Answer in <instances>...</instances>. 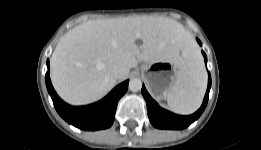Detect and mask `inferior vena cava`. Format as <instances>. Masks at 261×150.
Returning a JSON list of instances; mask_svg holds the SVG:
<instances>
[{
  "mask_svg": "<svg viewBox=\"0 0 261 150\" xmlns=\"http://www.w3.org/2000/svg\"><path fill=\"white\" fill-rule=\"evenodd\" d=\"M111 72L116 79H122L129 73V69L124 65L118 64L112 68Z\"/></svg>",
  "mask_w": 261,
  "mask_h": 150,
  "instance_id": "obj_1",
  "label": "inferior vena cava"
}]
</instances>
